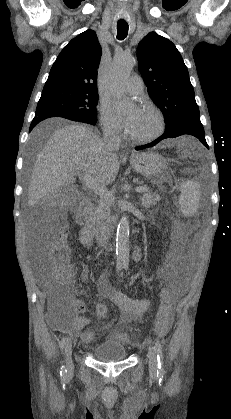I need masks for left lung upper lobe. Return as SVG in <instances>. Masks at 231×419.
I'll return each instance as SVG.
<instances>
[{"label":"left lung upper lobe","instance_id":"left-lung-upper-lobe-1","mask_svg":"<svg viewBox=\"0 0 231 419\" xmlns=\"http://www.w3.org/2000/svg\"><path fill=\"white\" fill-rule=\"evenodd\" d=\"M137 57L148 93L165 116V132L200 122L189 73L175 45L151 32L139 42Z\"/></svg>","mask_w":231,"mask_h":419}]
</instances>
